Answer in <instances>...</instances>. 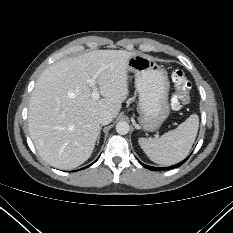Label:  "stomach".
Segmentation results:
<instances>
[{
  "instance_id": "obj_1",
  "label": "stomach",
  "mask_w": 233,
  "mask_h": 233,
  "mask_svg": "<svg viewBox=\"0 0 233 233\" xmlns=\"http://www.w3.org/2000/svg\"><path fill=\"white\" fill-rule=\"evenodd\" d=\"M128 71L135 75L140 126L145 131H156L170 113V83L167 72L153 58L143 54H135L129 58Z\"/></svg>"
}]
</instances>
